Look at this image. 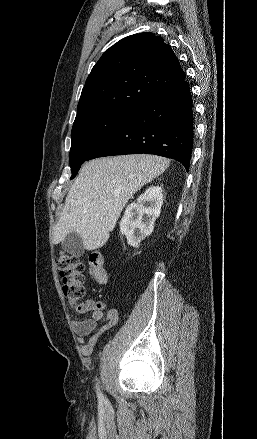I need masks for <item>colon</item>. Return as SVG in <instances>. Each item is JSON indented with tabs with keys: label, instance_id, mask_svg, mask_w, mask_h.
<instances>
[{
	"label": "colon",
	"instance_id": "colon-1",
	"mask_svg": "<svg viewBox=\"0 0 257 439\" xmlns=\"http://www.w3.org/2000/svg\"><path fill=\"white\" fill-rule=\"evenodd\" d=\"M57 268L62 277V291L67 302L75 306L85 295L84 266L75 256L66 252H59L56 260ZM90 272L99 283H105L107 274L104 269V259L100 252H93L89 256Z\"/></svg>",
	"mask_w": 257,
	"mask_h": 439
}]
</instances>
